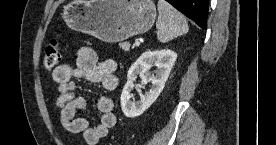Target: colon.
Returning <instances> with one entry per match:
<instances>
[{
	"mask_svg": "<svg viewBox=\"0 0 276 145\" xmlns=\"http://www.w3.org/2000/svg\"><path fill=\"white\" fill-rule=\"evenodd\" d=\"M61 58V47L59 40L54 38L45 49L43 64L45 69L51 70L57 66Z\"/></svg>",
	"mask_w": 276,
	"mask_h": 145,
	"instance_id": "1",
	"label": "colon"
}]
</instances>
